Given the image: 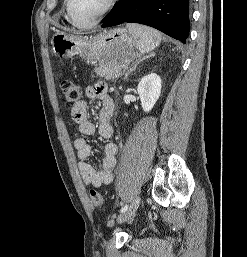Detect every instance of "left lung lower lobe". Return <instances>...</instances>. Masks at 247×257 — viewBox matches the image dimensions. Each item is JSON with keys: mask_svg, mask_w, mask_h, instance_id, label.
<instances>
[{"mask_svg": "<svg viewBox=\"0 0 247 257\" xmlns=\"http://www.w3.org/2000/svg\"><path fill=\"white\" fill-rule=\"evenodd\" d=\"M101 27L135 22L154 27L186 43L189 34V0H119Z\"/></svg>", "mask_w": 247, "mask_h": 257, "instance_id": "1", "label": "left lung lower lobe"}]
</instances>
